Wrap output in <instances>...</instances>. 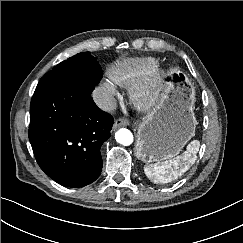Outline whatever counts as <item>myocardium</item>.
Segmentation results:
<instances>
[{"label": "myocardium", "mask_w": 243, "mask_h": 243, "mask_svg": "<svg viewBox=\"0 0 243 243\" xmlns=\"http://www.w3.org/2000/svg\"><path fill=\"white\" fill-rule=\"evenodd\" d=\"M162 72L155 68L153 72L142 82L135 85L133 89V99L140 105L150 104L157 93V88L161 82Z\"/></svg>", "instance_id": "1"}]
</instances>
